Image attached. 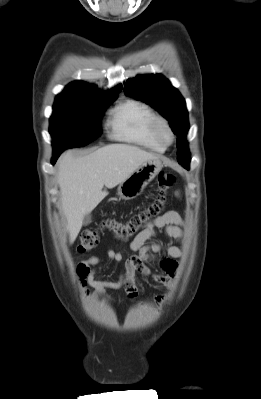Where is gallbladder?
Returning a JSON list of instances; mask_svg holds the SVG:
<instances>
[{
  "label": "gallbladder",
  "mask_w": 261,
  "mask_h": 399,
  "mask_svg": "<svg viewBox=\"0 0 261 399\" xmlns=\"http://www.w3.org/2000/svg\"><path fill=\"white\" fill-rule=\"evenodd\" d=\"M91 223V215L90 214H86L83 218V225H88Z\"/></svg>",
  "instance_id": "gallbladder-1"
}]
</instances>
